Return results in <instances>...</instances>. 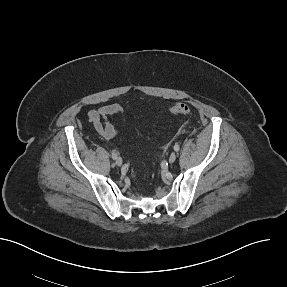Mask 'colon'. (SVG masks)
I'll list each match as a JSON object with an SVG mask.
<instances>
[{
    "instance_id": "obj_1",
    "label": "colon",
    "mask_w": 287,
    "mask_h": 287,
    "mask_svg": "<svg viewBox=\"0 0 287 287\" xmlns=\"http://www.w3.org/2000/svg\"><path fill=\"white\" fill-rule=\"evenodd\" d=\"M191 111L190 104L184 101L175 102L170 107V113L175 116H185Z\"/></svg>"
}]
</instances>
